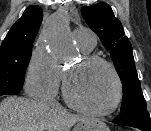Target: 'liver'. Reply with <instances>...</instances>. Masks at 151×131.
Here are the masks:
<instances>
[{
  "instance_id": "liver-1",
  "label": "liver",
  "mask_w": 151,
  "mask_h": 131,
  "mask_svg": "<svg viewBox=\"0 0 151 131\" xmlns=\"http://www.w3.org/2000/svg\"><path fill=\"white\" fill-rule=\"evenodd\" d=\"M88 119L22 97H7L0 103V131H70Z\"/></svg>"
}]
</instances>
